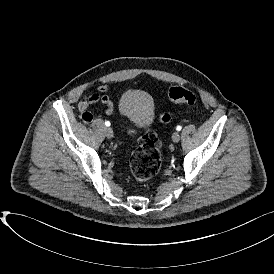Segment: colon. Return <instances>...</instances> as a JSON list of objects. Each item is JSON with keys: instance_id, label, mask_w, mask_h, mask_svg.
<instances>
[{"instance_id": "5ec220e1", "label": "colon", "mask_w": 274, "mask_h": 274, "mask_svg": "<svg viewBox=\"0 0 274 274\" xmlns=\"http://www.w3.org/2000/svg\"><path fill=\"white\" fill-rule=\"evenodd\" d=\"M169 99L175 104H198L197 96L187 88L177 86L169 90ZM172 120L170 112L159 115V121L167 124ZM128 135H134L135 129L127 126ZM160 142L154 130L148 129L142 137L138 147L134 150L130 160V170L138 181H146L153 177L161 168L162 158L160 153Z\"/></svg>"}]
</instances>
